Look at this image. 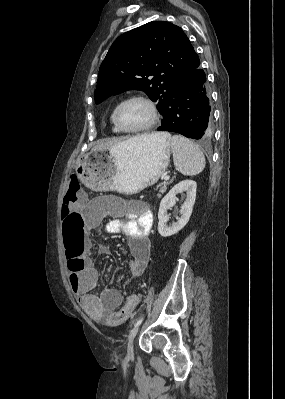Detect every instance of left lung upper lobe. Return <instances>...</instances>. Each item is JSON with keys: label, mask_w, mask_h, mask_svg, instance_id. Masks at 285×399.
<instances>
[{"label": "left lung upper lobe", "mask_w": 285, "mask_h": 399, "mask_svg": "<svg viewBox=\"0 0 285 399\" xmlns=\"http://www.w3.org/2000/svg\"><path fill=\"white\" fill-rule=\"evenodd\" d=\"M198 62L180 27L166 21L149 22L114 41L99 69L95 102L126 90H142L158 102L164 117L177 81Z\"/></svg>", "instance_id": "5c2ea615"}]
</instances>
